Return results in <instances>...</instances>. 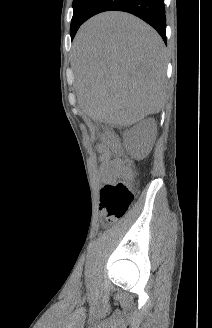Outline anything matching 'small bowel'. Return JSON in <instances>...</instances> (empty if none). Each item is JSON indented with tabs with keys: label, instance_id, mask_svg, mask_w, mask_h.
I'll return each mask as SVG.
<instances>
[{
	"label": "small bowel",
	"instance_id": "obj_1",
	"mask_svg": "<svg viewBox=\"0 0 212 328\" xmlns=\"http://www.w3.org/2000/svg\"><path fill=\"white\" fill-rule=\"evenodd\" d=\"M99 161L101 164V173L105 178H112L120 175L121 162L118 159H113L112 154L104 145L98 146Z\"/></svg>",
	"mask_w": 212,
	"mask_h": 328
}]
</instances>
